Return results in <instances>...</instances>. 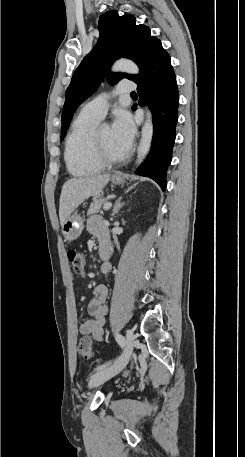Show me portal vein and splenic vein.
<instances>
[{
  "label": "portal vein and splenic vein",
  "instance_id": "1",
  "mask_svg": "<svg viewBox=\"0 0 245 457\" xmlns=\"http://www.w3.org/2000/svg\"><path fill=\"white\" fill-rule=\"evenodd\" d=\"M110 206H112V202H106V204H104L103 208H104V210H108V208H110Z\"/></svg>",
  "mask_w": 245,
  "mask_h": 457
}]
</instances>
